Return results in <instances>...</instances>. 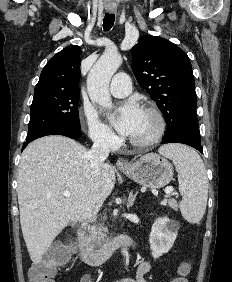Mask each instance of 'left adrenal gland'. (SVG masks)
Segmentation results:
<instances>
[{
    "instance_id": "a2214340",
    "label": "left adrenal gland",
    "mask_w": 232,
    "mask_h": 282,
    "mask_svg": "<svg viewBox=\"0 0 232 282\" xmlns=\"http://www.w3.org/2000/svg\"><path fill=\"white\" fill-rule=\"evenodd\" d=\"M135 198H136V194L133 195V192L130 193L129 195V205L132 207L133 206V203L135 201Z\"/></svg>"
}]
</instances>
